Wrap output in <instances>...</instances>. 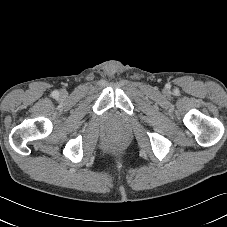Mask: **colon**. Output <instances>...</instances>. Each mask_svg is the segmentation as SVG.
<instances>
[{
    "label": "colon",
    "instance_id": "obj_1",
    "mask_svg": "<svg viewBox=\"0 0 227 227\" xmlns=\"http://www.w3.org/2000/svg\"><path fill=\"white\" fill-rule=\"evenodd\" d=\"M122 146H123V142L119 139H116L112 142V148L114 150H119L122 148Z\"/></svg>",
    "mask_w": 227,
    "mask_h": 227
}]
</instances>
